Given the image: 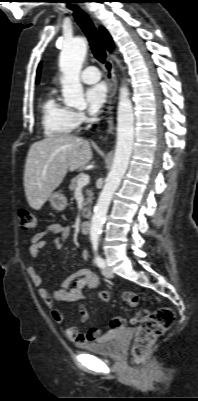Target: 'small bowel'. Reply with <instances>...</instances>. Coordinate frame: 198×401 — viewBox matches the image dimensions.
Wrapping results in <instances>:
<instances>
[{
  "instance_id": "obj_1",
  "label": "small bowel",
  "mask_w": 198,
  "mask_h": 401,
  "mask_svg": "<svg viewBox=\"0 0 198 401\" xmlns=\"http://www.w3.org/2000/svg\"><path fill=\"white\" fill-rule=\"evenodd\" d=\"M71 234V228L68 225L60 223H51L46 225L40 232L35 234L30 242V255L35 261L40 259V254L45 246V238L49 235H57L54 245L58 248L63 247ZM82 258L89 259L88 250L82 251ZM32 283L38 287V293L46 304L51 308V314L56 323H63L65 320L62 311L55 309L56 302H82L85 300L84 289H95L101 286L98 276L89 268H83L76 271L72 276L63 281L60 287L54 291H50L41 286L42 280L34 266L27 268ZM98 298L102 302L110 301V294L107 291H100ZM82 312V318H86V312ZM66 338L79 346H83L88 342L95 341L100 338L102 329L93 326L88 331L82 333L76 327L67 326L63 329Z\"/></svg>"
}]
</instances>
